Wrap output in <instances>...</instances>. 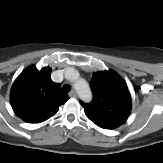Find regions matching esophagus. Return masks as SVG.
<instances>
[{"label": "esophagus", "mask_w": 163, "mask_h": 163, "mask_svg": "<svg viewBox=\"0 0 163 163\" xmlns=\"http://www.w3.org/2000/svg\"><path fill=\"white\" fill-rule=\"evenodd\" d=\"M69 96H70L71 98H76V97H77V94H76V92H75L74 90H72V91L69 93Z\"/></svg>", "instance_id": "1"}]
</instances>
